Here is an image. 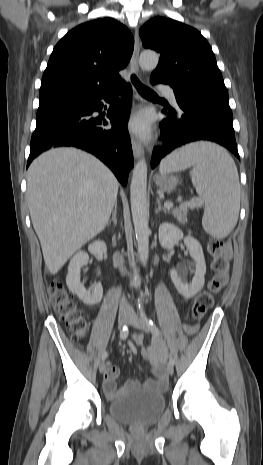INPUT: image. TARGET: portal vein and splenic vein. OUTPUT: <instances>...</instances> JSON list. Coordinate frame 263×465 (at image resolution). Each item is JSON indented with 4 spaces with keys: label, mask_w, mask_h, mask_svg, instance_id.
<instances>
[{
    "label": "portal vein and splenic vein",
    "mask_w": 263,
    "mask_h": 465,
    "mask_svg": "<svg viewBox=\"0 0 263 465\" xmlns=\"http://www.w3.org/2000/svg\"><path fill=\"white\" fill-rule=\"evenodd\" d=\"M183 205L186 206V207L194 208V207L199 206V203L192 200V201H189V202H185ZM164 206L167 209H172L173 208V203L172 202H166V203H164Z\"/></svg>",
    "instance_id": "1"
}]
</instances>
